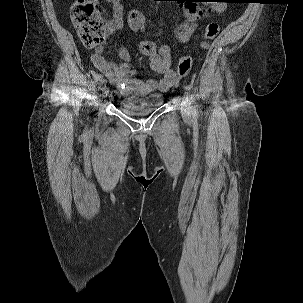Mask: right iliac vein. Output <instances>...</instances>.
Masks as SVG:
<instances>
[{
    "label": "right iliac vein",
    "instance_id": "right-iliac-vein-1",
    "mask_svg": "<svg viewBox=\"0 0 303 303\" xmlns=\"http://www.w3.org/2000/svg\"><path fill=\"white\" fill-rule=\"evenodd\" d=\"M102 95L105 96L108 93V88H106V86L102 89Z\"/></svg>",
    "mask_w": 303,
    "mask_h": 303
}]
</instances>
